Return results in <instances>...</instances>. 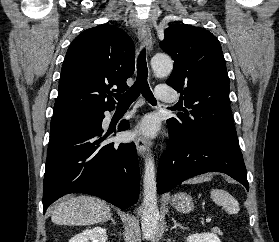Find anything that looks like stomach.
<instances>
[{
  "label": "stomach",
  "instance_id": "0dacf381",
  "mask_svg": "<svg viewBox=\"0 0 279 242\" xmlns=\"http://www.w3.org/2000/svg\"><path fill=\"white\" fill-rule=\"evenodd\" d=\"M171 203L177 211L182 213H189L194 208L192 197L183 192L175 194L171 199Z\"/></svg>",
  "mask_w": 279,
  "mask_h": 242
}]
</instances>
